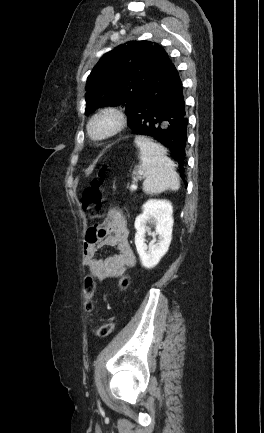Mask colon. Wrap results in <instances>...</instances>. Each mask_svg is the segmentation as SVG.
I'll return each instance as SVG.
<instances>
[{
	"label": "colon",
	"mask_w": 264,
	"mask_h": 433,
	"mask_svg": "<svg viewBox=\"0 0 264 433\" xmlns=\"http://www.w3.org/2000/svg\"><path fill=\"white\" fill-rule=\"evenodd\" d=\"M106 174V165L102 164L98 167L90 185L83 192V207L87 210L93 218H100L103 215V197L101 193V186L104 182ZM130 285V278L128 275H123L118 281L120 290H126ZM96 289V280L93 275H88L84 281L83 293L85 297V308L91 311L93 308L92 298ZM114 330V323L108 321L98 326L94 332L98 337H107Z\"/></svg>",
	"instance_id": "obj_1"
}]
</instances>
